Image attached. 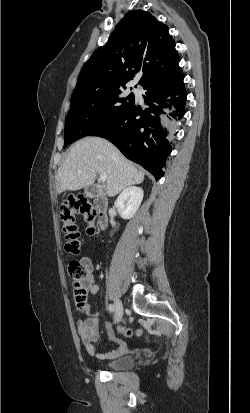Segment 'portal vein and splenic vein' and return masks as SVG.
<instances>
[{
  "instance_id": "1",
  "label": "portal vein and splenic vein",
  "mask_w": 250,
  "mask_h": 413,
  "mask_svg": "<svg viewBox=\"0 0 250 413\" xmlns=\"http://www.w3.org/2000/svg\"><path fill=\"white\" fill-rule=\"evenodd\" d=\"M106 179H107V176H106L105 174H101L100 177H99V180H100L101 182H105Z\"/></svg>"
}]
</instances>
